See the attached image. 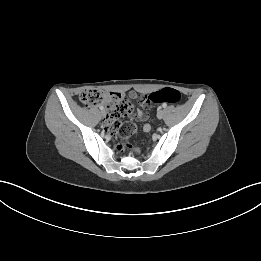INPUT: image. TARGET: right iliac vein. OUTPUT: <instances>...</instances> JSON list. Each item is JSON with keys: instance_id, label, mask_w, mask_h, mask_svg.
Instances as JSON below:
<instances>
[{"instance_id": "1", "label": "right iliac vein", "mask_w": 261, "mask_h": 261, "mask_svg": "<svg viewBox=\"0 0 261 261\" xmlns=\"http://www.w3.org/2000/svg\"><path fill=\"white\" fill-rule=\"evenodd\" d=\"M101 114L104 116L105 115V111H102Z\"/></svg>"}]
</instances>
